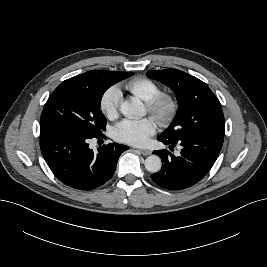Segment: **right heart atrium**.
Instances as JSON below:
<instances>
[{
  "instance_id": "1",
  "label": "right heart atrium",
  "mask_w": 267,
  "mask_h": 267,
  "mask_svg": "<svg viewBox=\"0 0 267 267\" xmlns=\"http://www.w3.org/2000/svg\"><path fill=\"white\" fill-rule=\"evenodd\" d=\"M121 99L120 90L113 86L104 91L100 98V110L109 119L117 116Z\"/></svg>"
}]
</instances>
